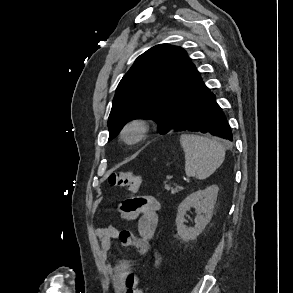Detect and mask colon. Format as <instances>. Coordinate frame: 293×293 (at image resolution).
Segmentation results:
<instances>
[{
  "mask_svg": "<svg viewBox=\"0 0 293 293\" xmlns=\"http://www.w3.org/2000/svg\"><path fill=\"white\" fill-rule=\"evenodd\" d=\"M108 181L112 186L126 188L132 192H137L142 183L141 177L132 171L112 172ZM126 293H143L139 287V279L134 273H130L126 278Z\"/></svg>",
  "mask_w": 293,
  "mask_h": 293,
  "instance_id": "1",
  "label": "colon"
}]
</instances>
